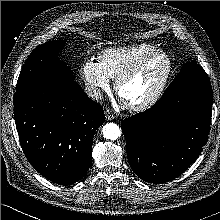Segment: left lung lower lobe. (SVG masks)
<instances>
[{"label": "left lung lower lobe", "instance_id": "obj_1", "mask_svg": "<svg viewBox=\"0 0 220 220\" xmlns=\"http://www.w3.org/2000/svg\"><path fill=\"white\" fill-rule=\"evenodd\" d=\"M211 84L163 95L150 109L121 122L129 164L150 183L178 177L199 156L211 124Z\"/></svg>", "mask_w": 220, "mask_h": 220}]
</instances>
